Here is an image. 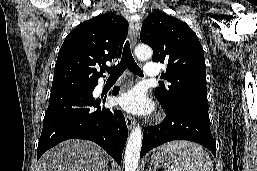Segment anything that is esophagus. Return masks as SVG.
<instances>
[{
	"label": "esophagus",
	"instance_id": "obj_1",
	"mask_svg": "<svg viewBox=\"0 0 257 171\" xmlns=\"http://www.w3.org/2000/svg\"><path fill=\"white\" fill-rule=\"evenodd\" d=\"M139 22H140L139 16L137 14H133L130 18V21H129L130 42H131L132 47H134L136 45V42H137ZM125 121H126L127 128L129 130H131L135 126V120L131 116L126 115L125 116Z\"/></svg>",
	"mask_w": 257,
	"mask_h": 171
}]
</instances>
